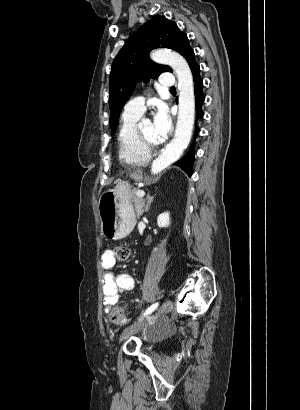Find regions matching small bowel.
I'll use <instances>...</instances> for the list:
<instances>
[{
    "label": "small bowel",
    "instance_id": "c3829d8e",
    "mask_svg": "<svg viewBox=\"0 0 300 410\" xmlns=\"http://www.w3.org/2000/svg\"><path fill=\"white\" fill-rule=\"evenodd\" d=\"M100 261L104 270L102 278L103 304L104 310L107 312L109 307L119 300L122 293L134 289L135 280L129 273H113L112 269L116 261L111 250H105L101 254Z\"/></svg>",
    "mask_w": 300,
    "mask_h": 410
}]
</instances>
